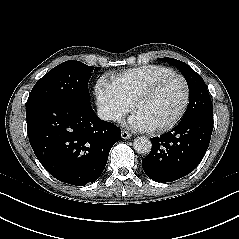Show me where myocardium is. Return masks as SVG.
I'll return each mask as SVG.
<instances>
[{
	"label": "myocardium",
	"instance_id": "f54148a6",
	"mask_svg": "<svg viewBox=\"0 0 239 239\" xmlns=\"http://www.w3.org/2000/svg\"><path fill=\"white\" fill-rule=\"evenodd\" d=\"M170 77L179 78L184 85L185 94H184L183 104H182V107H181L179 113L177 114V116L173 120H171L170 122H168L167 124H164L162 126L150 128L149 131L152 132V133H164V132L170 131L175 126H177L182 121L184 116L186 115V112H187L188 106H189V102H190V94H191L190 93V86H189V83H188L187 79L182 74H180L176 71L167 72V73L157 77L156 79H154L153 81L148 83L140 91H138L137 94L134 96V98L131 101V110L134 112L135 108L137 107V105L140 102L148 99L156 91L158 86L164 80H166Z\"/></svg>",
	"mask_w": 239,
	"mask_h": 239
}]
</instances>
